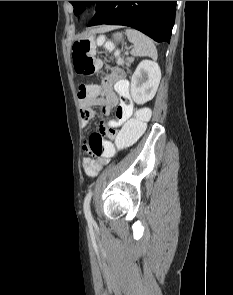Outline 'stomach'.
<instances>
[{
    "label": "stomach",
    "instance_id": "0dacf381",
    "mask_svg": "<svg viewBox=\"0 0 233 295\" xmlns=\"http://www.w3.org/2000/svg\"><path fill=\"white\" fill-rule=\"evenodd\" d=\"M113 38H114V40H115L116 42H121L122 39H123V35H122V33H115V34L113 35Z\"/></svg>",
    "mask_w": 233,
    "mask_h": 295
}]
</instances>
